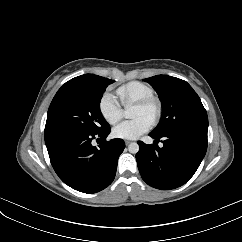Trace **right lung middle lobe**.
Listing matches in <instances>:
<instances>
[{
    "label": "right lung middle lobe",
    "instance_id": "obj_1",
    "mask_svg": "<svg viewBox=\"0 0 242 242\" xmlns=\"http://www.w3.org/2000/svg\"><path fill=\"white\" fill-rule=\"evenodd\" d=\"M110 80L94 75L87 80H69L54 96L47 113L45 133L80 128L90 133L110 129L100 112V101Z\"/></svg>",
    "mask_w": 242,
    "mask_h": 242
}]
</instances>
